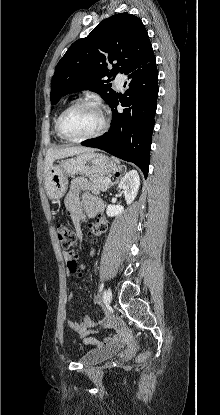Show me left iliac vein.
Listing matches in <instances>:
<instances>
[{
    "mask_svg": "<svg viewBox=\"0 0 220 415\" xmlns=\"http://www.w3.org/2000/svg\"><path fill=\"white\" fill-rule=\"evenodd\" d=\"M112 300V290L111 288H108L105 292V303L109 305Z\"/></svg>",
    "mask_w": 220,
    "mask_h": 415,
    "instance_id": "obj_1",
    "label": "left iliac vein"
}]
</instances>
